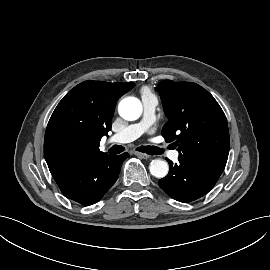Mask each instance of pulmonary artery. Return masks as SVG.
Here are the masks:
<instances>
[{"mask_svg":"<svg viewBox=\"0 0 270 270\" xmlns=\"http://www.w3.org/2000/svg\"><path fill=\"white\" fill-rule=\"evenodd\" d=\"M143 117L140 122L128 125L120 132L110 138V143H128L134 141L148 133L151 125L155 121V111L158 104L157 98L152 95H142ZM179 157V151L174 150L170 153V158L176 161Z\"/></svg>","mask_w":270,"mask_h":270,"instance_id":"pulmonary-artery-1","label":"pulmonary artery"}]
</instances>
